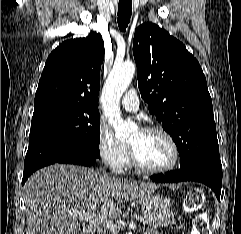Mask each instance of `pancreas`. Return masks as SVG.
<instances>
[{
  "instance_id": "obj_1",
  "label": "pancreas",
  "mask_w": 241,
  "mask_h": 234,
  "mask_svg": "<svg viewBox=\"0 0 241 234\" xmlns=\"http://www.w3.org/2000/svg\"><path fill=\"white\" fill-rule=\"evenodd\" d=\"M112 234H117V233L114 231V232H112ZM144 234H162V233H159L155 229H147Z\"/></svg>"
}]
</instances>
